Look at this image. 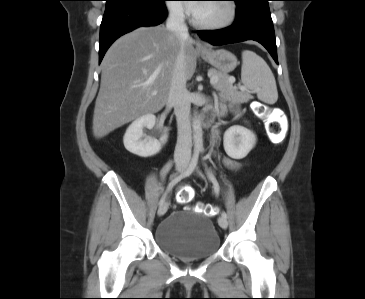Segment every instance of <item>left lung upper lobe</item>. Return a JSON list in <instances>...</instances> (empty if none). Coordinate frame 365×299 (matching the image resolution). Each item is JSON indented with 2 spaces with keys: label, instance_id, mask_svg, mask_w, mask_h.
<instances>
[{
  "label": "left lung upper lobe",
  "instance_id": "obj_1",
  "mask_svg": "<svg viewBox=\"0 0 365 299\" xmlns=\"http://www.w3.org/2000/svg\"><path fill=\"white\" fill-rule=\"evenodd\" d=\"M233 1H235V2H240V1H243V0H233Z\"/></svg>",
  "mask_w": 365,
  "mask_h": 299
}]
</instances>
